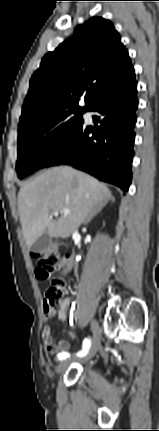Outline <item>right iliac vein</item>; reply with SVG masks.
Here are the masks:
<instances>
[{
  "instance_id": "obj_1",
  "label": "right iliac vein",
  "mask_w": 159,
  "mask_h": 431,
  "mask_svg": "<svg viewBox=\"0 0 159 431\" xmlns=\"http://www.w3.org/2000/svg\"><path fill=\"white\" fill-rule=\"evenodd\" d=\"M92 332H93L92 346L83 361H87L90 358H92L96 354V352L98 351L101 345V331L97 322L94 320L92 321ZM69 363L70 362L68 360L61 361L56 367V373L57 374L63 373L68 367Z\"/></svg>"
}]
</instances>
